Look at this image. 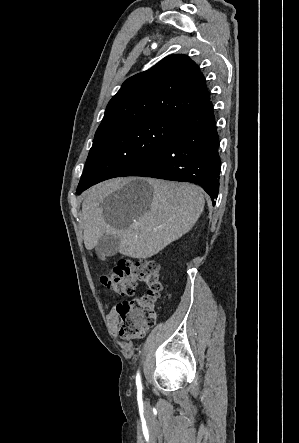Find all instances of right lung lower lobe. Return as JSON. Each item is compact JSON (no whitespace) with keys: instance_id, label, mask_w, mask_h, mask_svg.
Here are the masks:
<instances>
[{"instance_id":"98d812e1","label":"right lung lower lobe","mask_w":299,"mask_h":443,"mask_svg":"<svg viewBox=\"0 0 299 443\" xmlns=\"http://www.w3.org/2000/svg\"><path fill=\"white\" fill-rule=\"evenodd\" d=\"M220 157L212 103L182 116L174 134L148 159L122 176H142L200 185L215 204Z\"/></svg>"}]
</instances>
